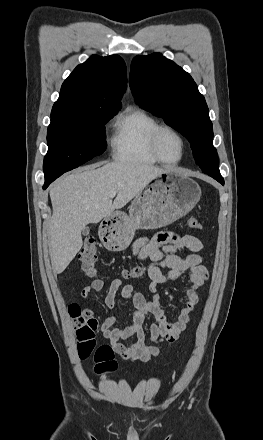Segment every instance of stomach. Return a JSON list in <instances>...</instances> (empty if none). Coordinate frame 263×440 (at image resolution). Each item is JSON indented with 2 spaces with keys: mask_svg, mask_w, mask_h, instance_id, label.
Segmentation results:
<instances>
[{
  "mask_svg": "<svg viewBox=\"0 0 263 440\" xmlns=\"http://www.w3.org/2000/svg\"><path fill=\"white\" fill-rule=\"evenodd\" d=\"M201 197L200 186L191 178L166 171L131 202L129 214L115 211L104 218L99 233L110 251H123L137 229H157L188 214Z\"/></svg>",
  "mask_w": 263,
  "mask_h": 440,
  "instance_id": "stomach-1",
  "label": "stomach"
}]
</instances>
